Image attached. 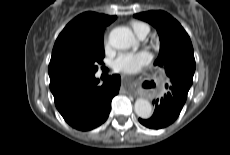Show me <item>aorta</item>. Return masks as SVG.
Segmentation results:
<instances>
[{
    "mask_svg": "<svg viewBox=\"0 0 230 155\" xmlns=\"http://www.w3.org/2000/svg\"><path fill=\"white\" fill-rule=\"evenodd\" d=\"M109 43L112 47L120 50L129 49L136 43L133 32L127 27H116L109 33ZM135 113L144 119L152 115V105L144 98H138L134 104Z\"/></svg>",
    "mask_w": 230,
    "mask_h": 155,
    "instance_id": "aorta-1",
    "label": "aorta"
}]
</instances>
